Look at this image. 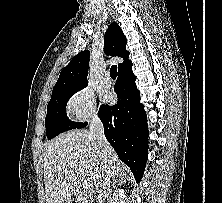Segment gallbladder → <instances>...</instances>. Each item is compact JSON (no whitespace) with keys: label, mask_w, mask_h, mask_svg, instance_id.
Instances as JSON below:
<instances>
[{"label":"gallbladder","mask_w":222,"mask_h":203,"mask_svg":"<svg viewBox=\"0 0 222 203\" xmlns=\"http://www.w3.org/2000/svg\"><path fill=\"white\" fill-rule=\"evenodd\" d=\"M62 203H73V200L69 199V200L63 201Z\"/></svg>","instance_id":"bac80fb5"}]
</instances>
